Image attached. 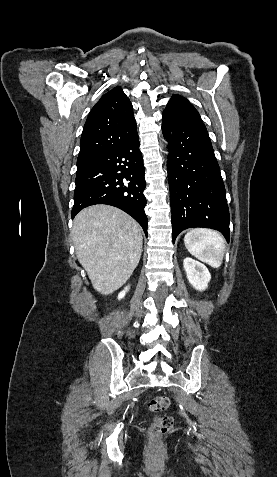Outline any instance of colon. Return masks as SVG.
Returning <instances> with one entry per match:
<instances>
[{
	"label": "colon",
	"instance_id": "1",
	"mask_svg": "<svg viewBox=\"0 0 277 477\" xmlns=\"http://www.w3.org/2000/svg\"><path fill=\"white\" fill-rule=\"evenodd\" d=\"M169 399L166 396H155L151 398L148 403V409L151 412L159 413L166 410L169 406ZM173 420L169 416L155 417L150 428L149 435L152 439L157 440L166 434L172 427Z\"/></svg>",
	"mask_w": 277,
	"mask_h": 477
}]
</instances>
